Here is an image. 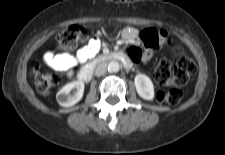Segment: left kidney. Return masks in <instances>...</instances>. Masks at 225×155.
Returning <instances> with one entry per match:
<instances>
[{
  "label": "left kidney",
  "instance_id": "left-kidney-1",
  "mask_svg": "<svg viewBox=\"0 0 225 155\" xmlns=\"http://www.w3.org/2000/svg\"><path fill=\"white\" fill-rule=\"evenodd\" d=\"M134 83L136 91L141 98L145 100H153L154 86L148 76L144 74H138L135 76Z\"/></svg>",
  "mask_w": 225,
  "mask_h": 155
}]
</instances>
